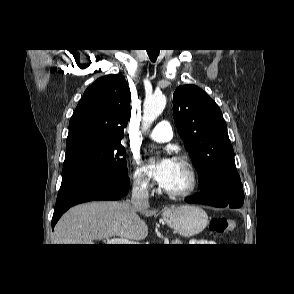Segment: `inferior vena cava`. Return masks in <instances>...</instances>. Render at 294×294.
<instances>
[{
  "instance_id": "obj_1",
  "label": "inferior vena cava",
  "mask_w": 294,
  "mask_h": 294,
  "mask_svg": "<svg viewBox=\"0 0 294 294\" xmlns=\"http://www.w3.org/2000/svg\"><path fill=\"white\" fill-rule=\"evenodd\" d=\"M149 192L147 182L142 179L135 180L132 188L131 204L135 209H141L149 205Z\"/></svg>"
}]
</instances>
